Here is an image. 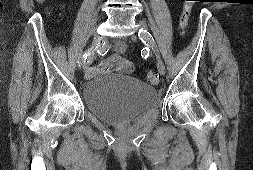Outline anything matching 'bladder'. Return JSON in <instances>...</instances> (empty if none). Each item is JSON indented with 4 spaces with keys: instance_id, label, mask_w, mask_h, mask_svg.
I'll return each mask as SVG.
<instances>
[{
    "instance_id": "bladder-1",
    "label": "bladder",
    "mask_w": 253,
    "mask_h": 170,
    "mask_svg": "<svg viewBox=\"0 0 253 170\" xmlns=\"http://www.w3.org/2000/svg\"><path fill=\"white\" fill-rule=\"evenodd\" d=\"M82 96L88 110L98 119L123 125L151 108L157 92L155 87L132 76L104 72L84 83Z\"/></svg>"
}]
</instances>
